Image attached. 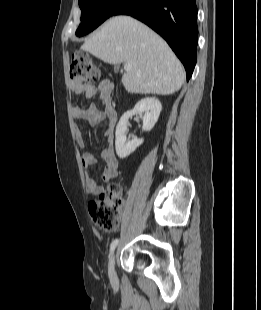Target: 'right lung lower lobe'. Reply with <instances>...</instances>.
<instances>
[{
	"label": "right lung lower lobe",
	"instance_id": "right-lung-lower-lobe-1",
	"mask_svg": "<svg viewBox=\"0 0 261 310\" xmlns=\"http://www.w3.org/2000/svg\"><path fill=\"white\" fill-rule=\"evenodd\" d=\"M130 15L155 30L183 63L187 80L194 70L198 27L195 0H128L114 15Z\"/></svg>",
	"mask_w": 261,
	"mask_h": 310
}]
</instances>
